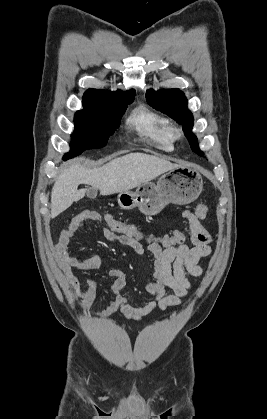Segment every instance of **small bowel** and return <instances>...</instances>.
<instances>
[{
  "label": "small bowel",
  "instance_id": "c3829d8e",
  "mask_svg": "<svg viewBox=\"0 0 267 419\" xmlns=\"http://www.w3.org/2000/svg\"><path fill=\"white\" fill-rule=\"evenodd\" d=\"M182 215L189 224L192 247L184 244V241L166 247L161 245L131 247L137 254L148 252L154 258L153 280L145 287L152 299L142 306H133L122 293L126 286V273L120 269H111L108 275L113 279L110 288L113 297L103 311L94 314L95 317L107 318L120 311L125 318L139 321L157 308L167 310L181 304L182 298L191 288L188 275L200 277L203 274L200 260L212 252L211 236L201 224L200 217L189 210H185ZM100 220L101 216L95 211L81 212L73 217L68 226L61 231L55 244L59 270L73 295L81 296L80 308L83 310L91 308L97 300L98 293L95 281L89 279L87 287H83L75 275V270H95L100 266V259L95 255L86 258L74 255L70 250V243L87 222ZM101 234L108 241L119 242L117 236L107 228H103ZM166 289H169L171 293L167 294Z\"/></svg>",
  "mask_w": 267,
  "mask_h": 419
}]
</instances>
